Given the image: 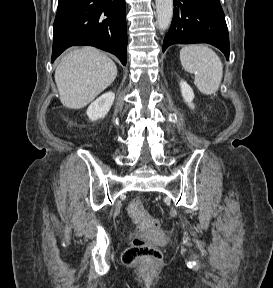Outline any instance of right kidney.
Wrapping results in <instances>:
<instances>
[{
  "label": "right kidney",
  "instance_id": "obj_1",
  "mask_svg": "<svg viewBox=\"0 0 273 288\" xmlns=\"http://www.w3.org/2000/svg\"><path fill=\"white\" fill-rule=\"evenodd\" d=\"M115 99V94L113 92H107L97 98L94 102L90 104L87 109V115L90 120L96 121L98 119L104 118L109 112Z\"/></svg>",
  "mask_w": 273,
  "mask_h": 288
}]
</instances>
